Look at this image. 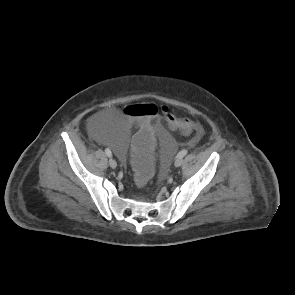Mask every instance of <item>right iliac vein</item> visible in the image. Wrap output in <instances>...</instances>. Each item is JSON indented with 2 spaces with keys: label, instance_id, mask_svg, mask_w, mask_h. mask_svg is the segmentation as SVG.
Here are the masks:
<instances>
[{
  "label": "right iliac vein",
  "instance_id": "obj_1",
  "mask_svg": "<svg viewBox=\"0 0 295 295\" xmlns=\"http://www.w3.org/2000/svg\"><path fill=\"white\" fill-rule=\"evenodd\" d=\"M109 165L111 168L115 169L117 167V163L113 158L109 159Z\"/></svg>",
  "mask_w": 295,
  "mask_h": 295
}]
</instances>
